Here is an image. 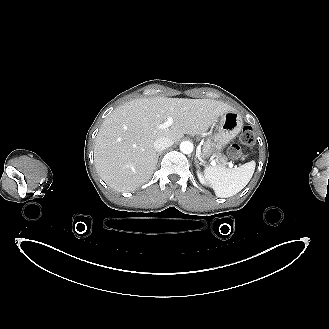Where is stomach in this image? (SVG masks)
I'll return each instance as SVG.
<instances>
[{"mask_svg": "<svg viewBox=\"0 0 329 329\" xmlns=\"http://www.w3.org/2000/svg\"><path fill=\"white\" fill-rule=\"evenodd\" d=\"M243 126V120L241 115L237 111H229L221 116L219 121L218 133L215 135L216 150L220 151L230 140H232L240 131ZM205 153L204 157L211 155Z\"/></svg>", "mask_w": 329, "mask_h": 329, "instance_id": "stomach-1", "label": "stomach"}]
</instances>
